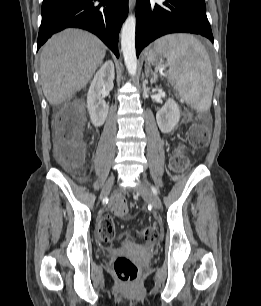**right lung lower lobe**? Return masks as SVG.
I'll list each match as a JSON object with an SVG mask.
<instances>
[{
    "label": "right lung lower lobe",
    "instance_id": "right-lung-lower-lobe-1",
    "mask_svg": "<svg viewBox=\"0 0 261 306\" xmlns=\"http://www.w3.org/2000/svg\"><path fill=\"white\" fill-rule=\"evenodd\" d=\"M128 15V0H43L37 49L54 33L79 27L97 35L118 53V34Z\"/></svg>",
    "mask_w": 261,
    "mask_h": 306
}]
</instances>
